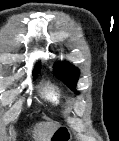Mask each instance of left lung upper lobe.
<instances>
[{"label":"left lung upper lobe","mask_w":119,"mask_h":141,"mask_svg":"<svg viewBox=\"0 0 119 141\" xmlns=\"http://www.w3.org/2000/svg\"><path fill=\"white\" fill-rule=\"evenodd\" d=\"M54 73L72 90H75L79 71L73 65L68 62H60L54 67Z\"/></svg>","instance_id":"5c2ea615"}]
</instances>
